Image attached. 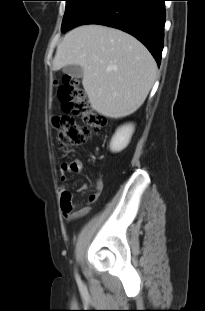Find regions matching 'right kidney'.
Returning <instances> with one entry per match:
<instances>
[{"label":"right kidney","mask_w":205,"mask_h":311,"mask_svg":"<svg viewBox=\"0 0 205 311\" xmlns=\"http://www.w3.org/2000/svg\"><path fill=\"white\" fill-rule=\"evenodd\" d=\"M133 132L134 127L131 124L119 128L111 140L110 149L113 152H120L121 150L126 148Z\"/></svg>","instance_id":"1"}]
</instances>
